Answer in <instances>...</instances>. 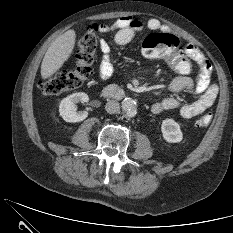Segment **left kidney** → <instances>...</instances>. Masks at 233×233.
Masks as SVG:
<instances>
[{"label": "left kidney", "mask_w": 233, "mask_h": 233, "mask_svg": "<svg viewBox=\"0 0 233 233\" xmlns=\"http://www.w3.org/2000/svg\"><path fill=\"white\" fill-rule=\"evenodd\" d=\"M163 138L169 143H178L182 141L183 134L180 125L173 119H165L161 124Z\"/></svg>", "instance_id": "1"}]
</instances>
